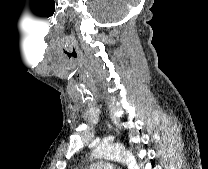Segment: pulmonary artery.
I'll return each instance as SVG.
<instances>
[{"mask_svg": "<svg viewBox=\"0 0 208 169\" xmlns=\"http://www.w3.org/2000/svg\"><path fill=\"white\" fill-rule=\"evenodd\" d=\"M89 169H114V165L110 160L102 159L92 164Z\"/></svg>", "mask_w": 208, "mask_h": 169, "instance_id": "obj_1", "label": "pulmonary artery"}]
</instances>
